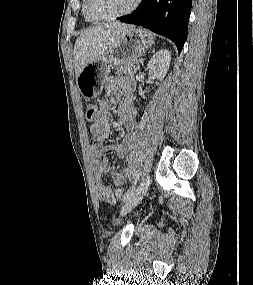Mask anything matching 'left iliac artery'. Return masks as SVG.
I'll return each instance as SVG.
<instances>
[{
    "label": "left iliac artery",
    "mask_w": 253,
    "mask_h": 285,
    "mask_svg": "<svg viewBox=\"0 0 253 285\" xmlns=\"http://www.w3.org/2000/svg\"><path fill=\"white\" fill-rule=\"evenodd\" d=\"M140 174H137L136 179L133 183V185L128 189V191L125 193L124 197H123V201H127L134 193L135 190V186L137 181L139 180Z\"/></svg>",
    "instance_id": "obj_1"
}]
</instances>
